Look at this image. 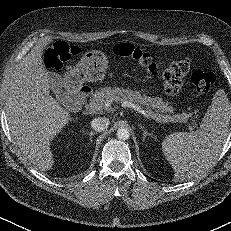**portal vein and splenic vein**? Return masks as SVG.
<instances>
[{
  "instance_id": "1",
  "label": "portal vein and splenic vein",
  "mask_w": 231,
  "mask_h": 231,
  "mask_svg": "<svg viewBox=\"0 0 231 231\" xmlns=\"http://www.w3.org/2000/svg\"><path fill=\"white\" fill-rule=\"evenodd\" d=\"M122 106L132 108V109L136 110L137 112L141 113L142 115H144L146 118L158 121V117L156 115L148 113L143 108H141L140 106H138L134 103L124 102V103H122ZM103 107H104V104L97 102V101H90L85 106L86 109H89L92 111H98L100 109H103ZM187 120H188V116H184V115H177L176 116L177 122L179 121V122L187 123Z\"/></svg>"
}]
</instances>
